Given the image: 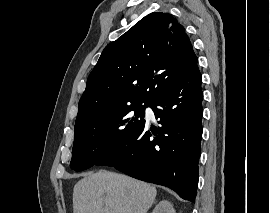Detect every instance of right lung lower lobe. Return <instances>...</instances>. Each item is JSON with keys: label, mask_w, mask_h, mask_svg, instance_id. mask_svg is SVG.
<instances>
[{"label": "right lung lower lobe", "mask_w": 270, "mask_h": 213, "mask_svg": "<svg viewBox=\"0 0 270 213\" xmlns=\"http://www.w3.org/2000/svg\"><path fill=\"white\" fill-rule=\"evenodd\" d=\"M198 67L150 105L161 124L145 123L97 165L113 166L139 180L167 186L195 202L203 115Z\"/></svg>", "instance_id": "98d812e1"}]
</instances>
